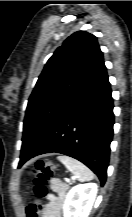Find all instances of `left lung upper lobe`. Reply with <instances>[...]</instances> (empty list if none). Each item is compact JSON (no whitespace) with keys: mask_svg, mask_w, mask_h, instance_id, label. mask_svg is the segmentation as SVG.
<instances>
[{"mask_svg":"<svg viewBox=\"0 0 132 217\" xmlns=\"http://www.w3.org/2000/svg\"><path fill=\"white\" fill-rule=\"evenodd\" d=\"M104 64L94 35L78 31L47 61L29 98L22 149L32 152Z\"/></svg>","mask_w":132,"mask_h":217,"instance_id":"1","label":"left lung upper lobe"}]
</instances>
